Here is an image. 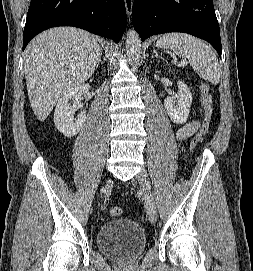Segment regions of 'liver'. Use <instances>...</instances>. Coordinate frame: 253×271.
<instances>
[{
  "label": "liver",
  "mask_w": 253,
  "mask_h": 271,
  "mask_svg": "<svg viewBox=\"0 0 253 271\" xmlns=\"http://www.w3.org/2000/svg\"><path fill=\"white\" fill-rule=\"evenodd\" d=\"M102 48L90 33L55 27L37 35L24 52L28 96L36 118L44 121L65 93L94 73Z\"/></svg>",
  "instance_id": "liver-1"
}]
</instances>
